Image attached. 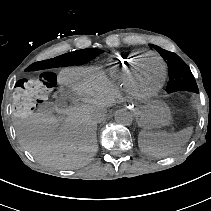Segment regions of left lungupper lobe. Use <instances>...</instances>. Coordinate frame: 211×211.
I'll list each match as a JSON object with an SVG mask.
<instances>
[{"label":"left lung upper lobe","instance_id":"5c2ea615","mask_svg":"<svg viewBox=\"0 0 211 211\" xmlns=\"http://www.w3.org/2000/svg\"><path fill=\"white\" fill-rule=\"evenodd\" d=\"M154 47L161 56L167 60L169 82L166 88L168 93L175 91H191L199 93L194 76L192 75L188 65L175 53L163 50L156 45Z\"/></svg>","mask_w":211,"mask_h":211}]
</instances>
